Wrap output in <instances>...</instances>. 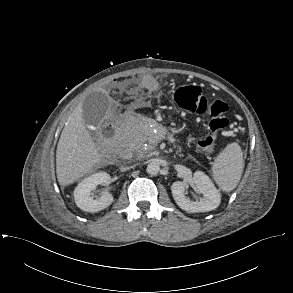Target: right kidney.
I'll list each match as a JSON object with an SVG mask.
<instances>
[{
  "instance_id": "right-kidney-1",
  "label": "right kidney",
  "mask_w": 293,
  "mask_h": 293,
  "mask_svg": "<svg viewBox=\"0 0 293 293\" xmlns=\"http://www.w3.org/2000/svg\"><path fill=\"white\" fill-rule=\"evenodd\" d=\"M111 177L107 172H97L82 180L74 190V199L77 207L86 212H99L110 206L114 197L109 192H104L101 197L93 199L91 191L97 185H107Z\"/></svg>"
}]
</instances>
